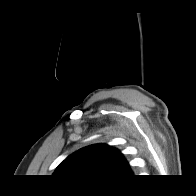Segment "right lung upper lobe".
Segmentation results:
<instances>
[{"label":"right lung upper lobe","instance_id":"obj_1","mask_svg":"<svg viewBox=\"0 0 196 196\" xmlns=\"http://www.w3.org/2000/svg\"><path fill=\"white\" fill-rule=\"evenodd\" d=\"M53 175L101 182L131 177L132 171L118 150L94 144L68 156Z\"/></svg>","mask_w":196,"mask_h":196}]
</instances>
